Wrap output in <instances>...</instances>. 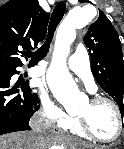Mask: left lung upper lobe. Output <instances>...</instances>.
Returning a JSON list of instances; mask_svg holds the SVG:
<instances>
[{"label":"left lung upper lobe","instance_id":"obj_1","mask_svg":"<svg viewBox=\"0 0 124 149\" xmlns=\"http://www.w3.org/2000/svg\"><path fill=\"white\" fill-rule=\"evenodd\" d=\"M84 43L90 52L91 70L96 81L115 100L123 115L124 60L121 42L102 11L98 20L88 28Z\"/></svg>","mask_w":124,"mask_h":149}]
</instances>
